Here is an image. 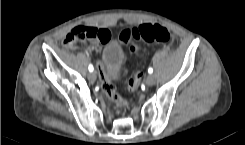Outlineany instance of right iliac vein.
<instances>
[{"label": "right iliac vein", "instance_id": "1", "mask_svg": "<svg viewBox=\"0 0 245 145\" xmlns=\"http://www.w3.org/2000/svg\"><path fill=\"white\" fill-rule=\"evenodd\" d=\"M88 80L90 83H94L96 81V74L94 72L89 73Z\"/></svg>", "mask_w": 245, "mask_h": 145}]
</instances>
